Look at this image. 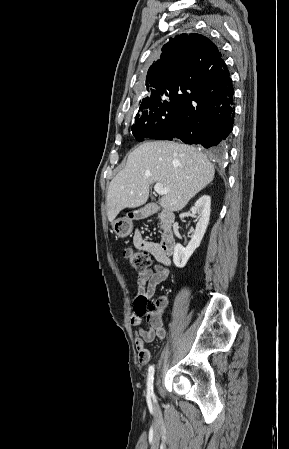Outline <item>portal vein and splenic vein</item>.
Segmentation results:
<instances>
[{"label": "portal vein and splenic vein", "instance_id": "obj_1", "mask_svg": "<svg viewBox=\"0 0 289 449\" xmlns=\"http://www.w3.org/2000/svg\"><path fill=\"white\" fill-rule=\"evenodd\" d=\"M154 190L159 195H165L169 192L168 188H165L161 183H156L154 185Z\"/></svg>", "mask_w": 289, "mask_h": 449}]
</instances>
